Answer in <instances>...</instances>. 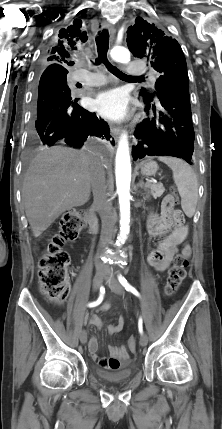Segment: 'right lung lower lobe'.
Listing matches in <instances>:
<instances>
[{"label": "right lung lower lobe", "mask_w": 222, "mask_h": 429, "mask_svg": "<svg viewBox=\"0 0 222 429\" xmlns=\"http://www.w3.org/2000/svg\"><path fill=\"white\" fill-rule=\"evenodd\" d=\"M45 69L39 78L34 107V131L43 145L82 147L87 138L110 139L109 126L95 113L82 108L67 83Z\"/></svg>", "instance_id": "obj_1"}]
</instances>
